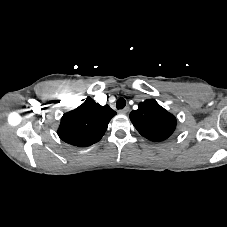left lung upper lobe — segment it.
<instances>
[{"mask_svg":"<svg viewBox=\"0 0 227 227\" xmlns=\"http://www.w3.org/2000/svg\"><path fill=\"white\" fill-rule=\"evenodd\" d=\"M130 119L142 136L155 142L167 139L176 128V118L153 99L139 103Z\"/></svg>","mask_w":227,"mask_h":227,"instance_id":"left-lung-upper-lobe-1","label":"left lung upper lobe"}]
</instances>
